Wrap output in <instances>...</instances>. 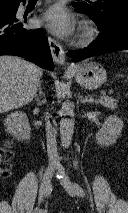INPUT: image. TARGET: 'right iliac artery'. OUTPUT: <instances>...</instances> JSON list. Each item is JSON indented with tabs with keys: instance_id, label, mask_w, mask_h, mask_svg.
Instances as JSON below:
<instances>
[{
	"instance_id": "1",
	"label": "right iliac artery",
	"mask_w": 128,
	"mask_h": 213,
	"mask_svg": "<svg viewBox=\"0 0 128 213\" xmlns=\"http://www.w3.org/2000/svg\"><path fill=\"white\" fill-rule=\"evenodd\" d=\"M50 190H51V186H50V189H49V191H48V194H50ZM41 198H42V195H41V197H40V200H41ZM40 213H46V212H40Z\"/></svg>"
}]
</instances>
